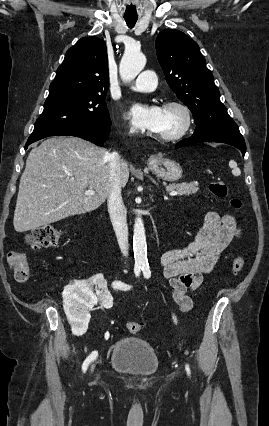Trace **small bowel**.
Masks as SVG:
<instances>
[{"instance_id":"obj_1","label":"small bowel","mask_w":269,"mask_h":426,"mask_svg":"<svg viewBox=\"0 0 269 426\" xmlns=\"http://www.w3.org/2000/svg\"><path fill=\"white\" fill-rule=\"evenodd\" d=\"M240 236L241 228L232 214L208 212L191 243L161 254L164 277L172 287L173 302L181 312L193 307L187 293L200 287L203 275L214 268L224 250Z\"/></svg>"}]
</instances>
